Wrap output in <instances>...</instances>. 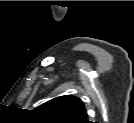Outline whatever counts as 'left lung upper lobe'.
Wrapping results in <instances>:
<instances>
[{"instance_id": "obj_1", "label": "left lung upper lobe", "mask_w": 134, "mask_h": 123, "mask_svg": "<svg viewBox=\"0 0 134 123\" xmlns=\"http://www.w3.org/2000/svg\"><path fill=\"white\" fill-rule=\"evenodd\" d=\"M46 119L61 123H87V113L81 99L71 95L53 98L36 109Z\"/></svg>"}]
</instances>
